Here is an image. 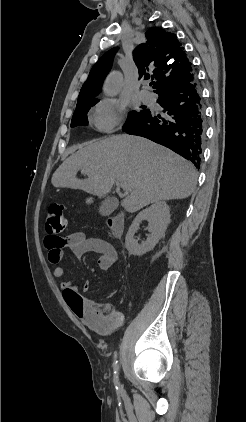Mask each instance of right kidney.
Here are the masks:
<instances>
[{
  "label": "right kidney",
  "instance_id": "obj_1",
  "mask_svg": "<svg viewBox=\"0 0 246 422\" xmlns=\"http://www.w3.org/2000/svg\"><path fill=\"white\" fill-rule=\"evenodd\" d=\"M143 220H147L149 222L148 231L151 234L148 236L146 241L138 244V242L134 239V235L138 231L140 223ZM169 222L170 208L164 201L155 202L150 207L141 211L134 219L126 235L125 245L129 254L141 256L151 251L164 235Z\"/></svg>",
  "mask_w": 246,
  "mask_h": 422
}]
</instances>
